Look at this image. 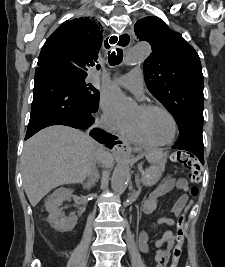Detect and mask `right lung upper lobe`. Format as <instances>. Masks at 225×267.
<instances>
[{"label": "right lung upper lobe", "instance_id": "1", "mask_svg": "<svg viewBox=\"0 0 225 267\" xmlns=\"http://www.w3.org/2000/svg\"><path fill=\"white\" fill-rule=\"evenodd\" d=\"M102 42V30L93 19L64 22L47 39L39 58V67H50L63 73L87 76L96 66Z\"/></svg>", "mask_w": 225, "mask_h": 267}]
</instances>
